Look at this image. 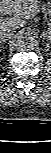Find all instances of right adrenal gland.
Returning a JSON list of instances; mask_svg holds the SVG:
<instances>
[{
	"mask_svg": "<svg viewBox=\"0 0 51 153\" xmlns=\"http://www.w3.org/2000/svg\"><path fill=\"white\" fill-rule=\"evenodd\" d=\"M4 42H5L4 40H1V41H0L1 44L4 43Z\"/></svg>",
	"mask_w": 51,
	"mask_h": 153,
	"instance_id": "right-adrenal-gland-1",
	"label": "right adrenal gland"
}]
</instances>
